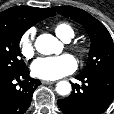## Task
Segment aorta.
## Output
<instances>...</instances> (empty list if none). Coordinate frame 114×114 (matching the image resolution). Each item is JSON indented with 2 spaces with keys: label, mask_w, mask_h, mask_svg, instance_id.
Returning a JSON list of instances; mask_svg holds the SVG:
<instances>
[{
  "label": "aorta",
  "mask_w": 114,
  "mask_h": 114,
  "mask_svg": "<svg viewBox=\"0 0 114 114\" xmlns=\"http://www.w3.org/2000/svg\"><path fill=\"white\" fill-rule=\"evenodd\" d=\"M35 48L39 53L52 54L61 50V43L50 34H42L37 37ZM58 94L64 96L71 92V84L68 81H60L56 85Z\"/></svg>",
  "instance_id": "obj_1"
}]
</instances>
